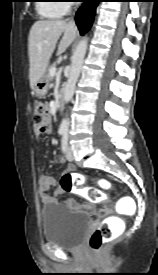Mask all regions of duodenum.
I'll list each match as a JSON object with an SVG mask.
<instances>
[{
    "instance_id": "1",
    "label": "duodenum",
    "mask_w": 158,
    "mask_h": 275,
    "mask_svg": "<svg viewBox=\"0 0 158 275\" xmlns=\"http://www.w3.org/2000/svg\"><path fill=\"white\" fill-rule=\"evenodd\" d=\"M64 103V93H62L58 99L57 110H60Z\"/></svg>"
}]
</instances>
